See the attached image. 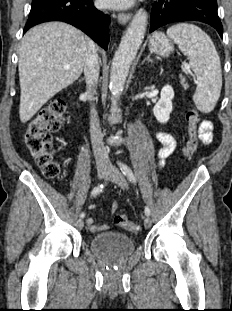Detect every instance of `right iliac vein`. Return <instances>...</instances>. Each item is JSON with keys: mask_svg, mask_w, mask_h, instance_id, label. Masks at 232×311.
<instances>
[{"mask_svg": "<svg viewBox=\"0 0 232 311\" xmlns=\"http://www.w3.org/2000/svg\"><path fill=\"white\" fill-rule=\"evenodd\" d=\"M108 173H109V168H107V167H101V168H98V170H97V176H98V178H99L100 180L103 179V178H105V177L108 175ZM77 225H78V227H79L80 229H82L83 226H84V221H83V219H79V220L77 221Z\"/></svg>", "mask_w": 232, "mask_h": 311, "instance_id": "63e3f726", "label": "right iliac vein"}]
</instances>
